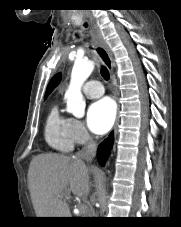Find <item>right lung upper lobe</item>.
<instances>
[{
    "label": "right lung upper lobe",
    "instance_id": "right-lung-upper-lobe-1",
    "mask_svg": "<svg viewBox=\"0 0 181 227\" xmlns=\"http://www.w3.org/2000/svg\"><path fill=\"white\" fill-rule=\"evenodd\" d=\"M60 75L56 74L49 82L47 86V91L45 93V98L52 92V90L59 84Z\"/></svg>",
    "mask_w": 181,
    "mask_h": 227
}]
</instances>
